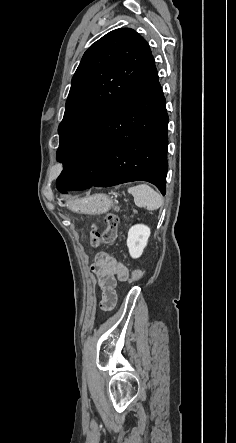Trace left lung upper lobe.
I'll return each mask as SVG.
<instances>
[{"label": "left lung upper lobe", "instance_id": "1", "mask_svg": "<svg viewBox=\"0 0 236 443\" xmlns=\"http://www.w3.org/2000/svg\"><path fill=\"white\" fill-rule=\"evenodd\" d=\"M151 56L148 43L130 28L113 30L86 50L72 78L58 129L57 160L63 166Z\"/></svg>", "mask_w": 236, "mask_h": 443}]
</instances>
